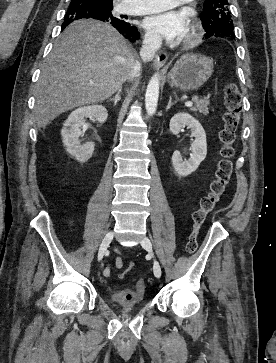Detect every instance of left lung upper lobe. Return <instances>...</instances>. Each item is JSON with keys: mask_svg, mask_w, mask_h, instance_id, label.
Masks as SVG:
<instances>
[{"mask_svg": "<svg viewBox=\"0 0 276 363\" xmlns=\"http://www.w3.org/2000/svg\"><path fill=\"white\" fill-rule=\"evenodd\" d=\"M228 0H204L201 21L205 29V38H234V25Z\"/></svg>", "mask_w": 276, "mask_h": 363, "instance_id": "1", "label": "left lung upper lobe"}]
</instances>
